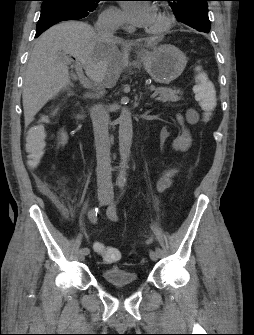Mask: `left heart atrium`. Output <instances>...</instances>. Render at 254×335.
Wrapping results in <instances>:
<instances>
[{
    "label": "left heart atrium",
    "instance_id": "left-heart-atrium-1",
    "mask_svg": "<svg viewBox=\"0 0 254 335\" xmlns=\"http://www.w3.org/2000/svg\"><path fill=\"white\" fill-rule=\"evenodd\" d=\"M126 20L139 29L151 31L156 10L147 1H126L122 4Z\"/></svg>",
    "mask_w": 254,
    "mask_h": 335
}]
</instances>
